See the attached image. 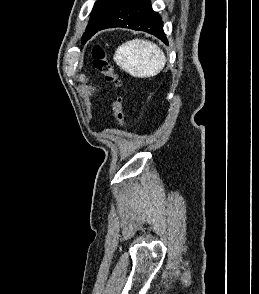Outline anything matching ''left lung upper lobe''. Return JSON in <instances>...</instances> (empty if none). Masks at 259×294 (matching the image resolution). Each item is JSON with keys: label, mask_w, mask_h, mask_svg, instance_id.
<instances>
[{"label": "left lung upper lobe", "mask_w": 259, "mask_h": 294, "mask_svg": "<svg viewBox=\"0 0 259 294\" xmlns=\"http://www.w3.org/2000/svg\"><path fill=\"white\" fill-rule=\"evenodd\" d=\"M128 0H97L91 13L90 21L83 35V43L93 36L109 14L120 4Z\"/></svg>", "instance_id": "left-lung-upper-lobe-1"}]
</instances>
